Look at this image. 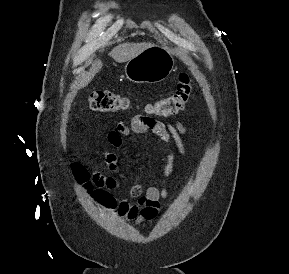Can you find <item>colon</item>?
<instances>
[{
    "mask_svg": "<svg viewBox=\"0 0 289 274\" xmlns=\"http://www.w3.org/2000/svg\"><path fill=\"white\" fill-rule=\"evenodd\" d=\"M192 94V81L188 73L182 72L176 85L175 91L152 104L147 106L149 114L158 117H168L175 115L184 109ZM90 109L100 112H113L128 109L130 106L129 100L117 93L109 90H95L88 97ZM74 172L77 179L84 183L87 188L91 187L89 174L85 168L76 164ZM95 197L105 203L111 204V197L103 191H96Z\"/></svg>",
    "mask_w": 289,
    "mask_h": 274,
    "instance_id": "colon-1",
    "label": "colon"
}]
</instances>
